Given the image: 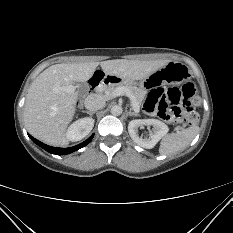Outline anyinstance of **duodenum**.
Segmentation results:
<instances>
[{
  "label": "duodenum",
  "instance_id": "obj_1",
  "mask_svg": "<svg viewBox=\"0 0 233 233\" xmlns=\"http://www.w3.org/2000/svg\"><path fill=\"white\" fill-rule=\"evenodd\" d=\"M119 82V78L112 74H106L103 70L97 69L95 74L89 80L91 87H104L109 84H115Z\"/></svg>",
  "mask_w": 233,
  "mask_h": 233
}]
</instances>
